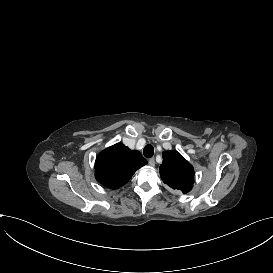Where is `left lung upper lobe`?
Masks as SVG:
<instances>
[{"label": "left lung upper lobe", "instance_id": "left-lung-upper-lobe-1", "mask_svg": "<svg viewBox=\"0 0 273 273\" xmlns=\"http://www.w3.org/2000/svg\"><path fill=\"white\" fill-rule=\"evenodd\" d=\"M162 157L159 172L163 182L184 194L188 193L194 182L192 165L177 151L163 152Z\"/></svg>", "mask_w": 273, "mask_h": 273}]
</instances>
